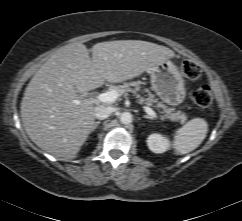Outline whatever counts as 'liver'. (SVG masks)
<instances>
[{
	"instance_id": "6515ba94",
	"label": "liver",
	"mask_w": 242,
	"mask_h": 221,
	"mask_svg": "<svg viewBox=\"0 0 242 221\" xmlns=\"http://www.w3.org/2000/svg\"><path fill=\"white\" fill-rule=\"evenodd\" d=\"M92 58L83 43L61 47L25 89L21 117L29 138L56 158L72 159L95 124L94 104L80 94L104 81L120 83L175 57L171 49L141 40L95 44Z\"/></svg>"
}]
</instances>
